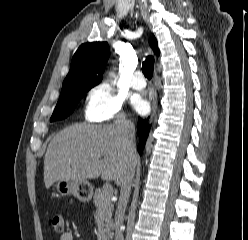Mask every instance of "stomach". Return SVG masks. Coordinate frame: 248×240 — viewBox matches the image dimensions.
Returning <instances> with one entry per match:
<instances>
[{
    "label": "stomach",
    "mask_w": 248,
    "mask_h": 240,
    "mask_svg": "<svg viewBox=\"0 0 248 240\" xmlns=\"http://www.w3.org/2000/svg\"><path fill=\"white\" fill-rule=\"evenodd\" d=\"M56 191L62 197L73 195L82 202L91 200L93 188L88 181L59 180L55 184Z\"/></svg>",
    "instance_id": "1"
}]
</instances>
